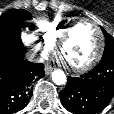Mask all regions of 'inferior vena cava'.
<instances>
[{
	"instance_id": "obj_1",
	"label": "inferior vena cava",
	"mask_w": 114,
	"mask_h": 114,
	"mask_svg": "<svg viewBox=\"0 0 114 114\" xmlns=\"http://www.w3.org/2000/svg\"><path fill=\"white\" fill-rule=\"evenodd\" d=\"M26 58L29 61L35 62V63H41V62H43V58L39 54L34 53V52H28L26 54Z\"/></svg>"
}]
</instances>
